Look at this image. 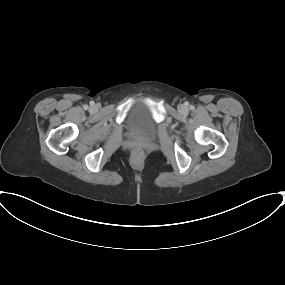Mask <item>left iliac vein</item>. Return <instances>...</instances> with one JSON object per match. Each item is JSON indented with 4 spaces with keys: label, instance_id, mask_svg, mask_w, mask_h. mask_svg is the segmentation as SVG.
<instances>
[{
    "label": "left iliac vein",
    "instance_id": "1",
    "mask_svg": "<svg viewBox=\"0 0 285 285\" xmlns=\"http://www.w3.org/2000/svg\"><path fill=\"white\" fill-rule=\"evenodd\" d=\"M178 110L181 113H187L188 112V108L186 106H184V105H179Z\"/></svg>",
    "mask_w": 285,
    "mask_h": 285
}]
</instances>
